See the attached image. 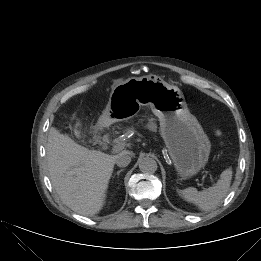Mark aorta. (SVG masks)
Returning <instances> with one entry per match:
<instances>
[{
    "mask_svg": "<svg viewBox=\"0 0 261 261\" xmlns=\"http://www.w3.org/2000/svg\"><path fill=\"white\" fill-rule=\"evenodd\" d=\"M157 167V162L149 156L139 160V169L143 173L152 174L157 170Z\"/></svg>",
    "mask_w": 261,
    "mask_h": 261,
    "instance_id": "aorta-1",
    "label": "aorta"
}]
</instances>
